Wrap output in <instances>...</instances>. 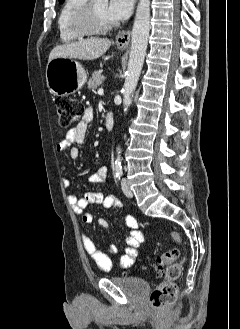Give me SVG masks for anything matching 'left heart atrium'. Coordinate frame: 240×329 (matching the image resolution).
I'll return each mask as SVG.
<instances>
[{"mask_svg":"<svg viewBox=\"0 0 240 329\" xmlns=\"http://www.w3.org/2000/svg\"><path fill=\"white\" fill-rule=\"evenodd\" d=\"M133 3L134 0H110L105 15L112 22L123 21L130 16Z\"/></svg>","mask_w":240,"mask_h":329,"instance_id":"1","label":"left heart atrium"}]
</instances>
